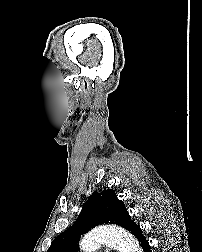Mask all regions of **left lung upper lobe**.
Wrapping results in <instances>:
<instances>
[{
	"label": "left lung upper lobe",
	"mask_w": 202,
	"mask_h": 252,
	"mask_svg": "<svg viewBox=\"0 0 202 252\" xmlns=\"http://www.w3.org/2000/svg\"><path fill=\"white\" fill-rule=\"evenodd\" d=\"M102 224H116L127 230L135 224L112 189L93 192L75 223L54 239L47 252H78L80 236Z\"/></svg>",
	"instance_id": "left-lung-upper-lobe-1"
}]
</instances>
